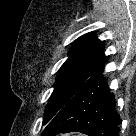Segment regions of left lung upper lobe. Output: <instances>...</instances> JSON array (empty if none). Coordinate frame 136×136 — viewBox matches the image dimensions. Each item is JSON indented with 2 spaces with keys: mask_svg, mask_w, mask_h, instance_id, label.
Returning a JSON list of instances; mask_svg holds the SVG:
<instances>
[{
  "mask_svg": "<svg viewBox=\"0 0 136 136\" xmlns=\"http://www.w3.org/2000/svg\"><path fill=\"white\" fill-rule=\"evenodd\" d=\"M102 41L93 32L82 35L74 41L69 58L60 68L55 88L49 98L43 125L74 97L83 84L103 65L105 58Z\"/></svg>",
  "mask_w": 136,
  "mask_h": 136,
  "instance_id": "obj_1",
  "label": "left lung upper lobe"
}]
</instances>
